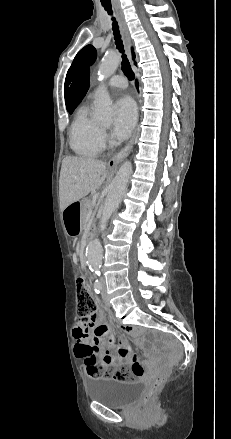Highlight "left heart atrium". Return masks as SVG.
<instances>
[{
	"instance_id": "obj_1",
	"label": "left heart atrium",
	"mask_w": 231,
	"mask_h": 439,
	"mask_svg": "<svg viewBox=\"0 0 231 439\" xmlns=\"http://www.w3.org/2000/svg\"><path fill=\"white\" fill-rule=\"evenodd\" d=\"M136 117L133 101L128 97L120 98L115 104L113 136L118 140L126 139L134 128Z\"/></svg>"
}]
</instances>
